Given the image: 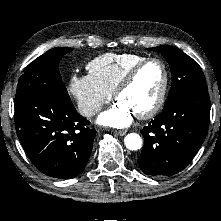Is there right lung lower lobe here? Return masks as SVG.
I'll return each mask as SVG.
<instances>
[{"instance_id": "obj_1", "label": "right lung lower lobe", "mask_w": 221, "mask_h": 221, "mask_svg": "<svg viewBox=\"0 0 221 221\" xmlns=\"http://www.w3.org/2000/svg\"><path fill=\"white\" fill-rule=\"evenodd\" d=\"M71 101L38 94L15 104L18 138L34 166L54 178H73L86 166L96 134Z\"/></svg>"}]
</instances>
